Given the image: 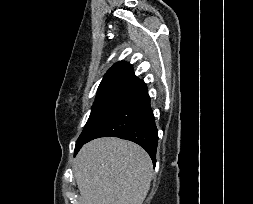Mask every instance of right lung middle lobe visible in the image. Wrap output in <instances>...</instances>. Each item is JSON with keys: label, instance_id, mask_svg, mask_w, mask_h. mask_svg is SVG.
<instances>
[{"label": "right lung middle lobe", "instance_id": "right-lung-middle-lobe-1", "mask_svg": "<svg viewBox=\"0 0 253 204\" xmlns=\"http://www.w3.org/2000/svg\"><path fill=\"white\" fill-rule=\"evenodd\" d=\"M140 83L121 82L98 88L90 117L76 141L75 153L87 142L91 134L138 87Z\"/></svg>", "mask_w": 253, "mask_h": 204}]
</instances>
